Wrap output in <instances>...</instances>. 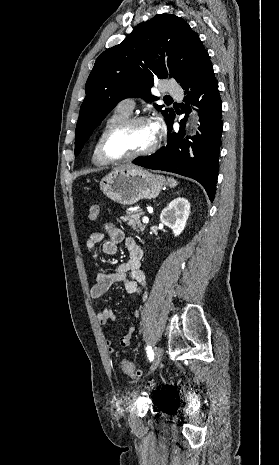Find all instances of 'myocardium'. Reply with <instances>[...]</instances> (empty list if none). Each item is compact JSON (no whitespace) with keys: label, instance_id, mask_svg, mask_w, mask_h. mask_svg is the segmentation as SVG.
Masks as SVG:
<instances>
[{"label":"myocardium","instance_id":"f54148a6","mask_svg":"<svg viewBox=\"0 0 279 465\" xmlns=\"http://www.w3.org/2000/svg\"><path fill=\"white\" fill-rule=\"evenodd\" d=\"M139 123L151 124L150 120L147 117H144V116H132V117H128V118H126V119L112 125L110 128H108L105 131V133L103 134V136H102V138L100 140V143H99V152H100V155H101L102 159L105 162L113 164V163H121V162L131 161V160H135V159H138V158L148 156V155L152 154L157 149V147L159 145V137H158V134L155 133V137H154V140H153L152 144L149 147H147L146 149H144V150H142L140 152H136V153L120 156V157H113L108 153V151H107L108 141L110 140V138L115 133H117V132H119L121 130L127 129V128L135 125V124H139Z\"/></svg>","mask_w":279,"mask_h":465}]
</instances>
